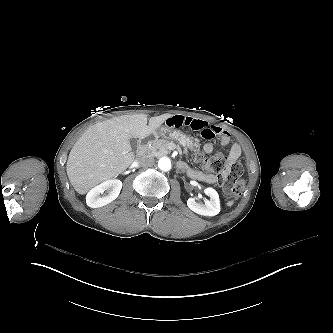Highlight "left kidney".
<instances>
[{
    "mask_svg": "<svg viewBox=\"0 0 333 333\" xmlns=\"http://www.w3.org/2000/svg\"><path fill=\"white\" fill-rule=\"evenodd\" d=\"M204 193L210 197L204 204L197 203L194 198L187 200V206L195 213L204 216H215L220 212V200L217 191L211 187L204 190Z\"/></svg>",
    "mask_w": 333,
    "mask_h": 333,
    "instance_id": "obj_1",
    "label": "left kidney"
}]
</instances>
